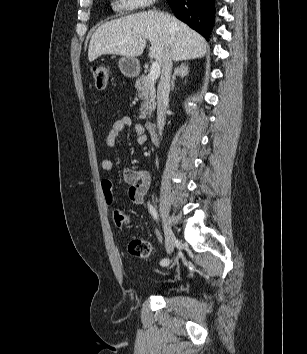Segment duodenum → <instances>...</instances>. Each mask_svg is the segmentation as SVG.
I'll return each instance as SVG.
<instances>
[{"label":"duodenum","instance_id":"1","mask_svg":"<svg viewBox=\"0 0 307 354\" xmlns=\"http://www.w3.org/2000/svg\"><path fill=\"white\" fill-rule=\"evenodd\" d=\"M145 129L147 130V132L150 134L152 140L154 142L157 141V132H156V126L153 122L148 121L144 124Z\"/></svg>","mask_w":307,"mask_h":354}]
</instances>
